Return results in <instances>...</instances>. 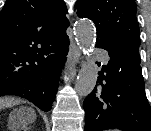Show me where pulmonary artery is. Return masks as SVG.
I'll return each instance as SVG.
<instances>
[{
    "label": "pulmonary artery",
    "mask_w": 151,
    "mask_h": 131,
    "mask_svg": "<svg viewBox=\"0 0 151 131\" xmlns=\"http://www.w3.org/2000/svg\"><path fill=\"white\" fill-rule=\"evenodd\" d=\"M97 55L103 60L106 59L105 55L101 51H97Z\"/></svg>",
    "instance_id": "e3ab8cb5"
}]
</instances>
